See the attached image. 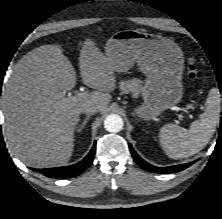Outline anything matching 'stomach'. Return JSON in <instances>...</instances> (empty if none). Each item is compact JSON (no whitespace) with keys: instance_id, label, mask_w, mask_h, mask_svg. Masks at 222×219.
Here are the masks:
<instances>
[{"instance_id":"obj_1","label":"stomach","mask_w":222,"mask_h":219,"mask_svg":"<svg viewBox=\"0 0 222 219\" xmlns=\"http://www.w3.org/2000/svg\"><path fill=\"white\" fill-rule=\"evenodd\" d=\"M105 56L117 72H126L137 63L147 76L141 89L144 103L135 109L139 117H157L181 101L184 57L174 41L139 30H121L107 41Z\"/></svg>"}]
</instances>
